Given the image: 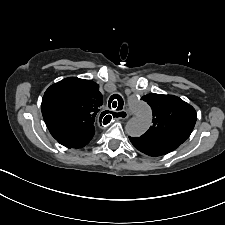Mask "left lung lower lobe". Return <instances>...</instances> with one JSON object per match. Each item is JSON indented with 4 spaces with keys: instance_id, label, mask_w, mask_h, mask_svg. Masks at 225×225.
I'll list each match as a JSON object with an SVG mask.
<instances>
[{
    "instance_id": "1",
    "label": "left lung lower lobe",
    "mask_w": 225,
    "mask_h": 225,
    "mask_svg": "<svg viewBox=\"0 0 225 225\" xmlns=\"http://www.w3.org/2000/svg\"><path fill=\"white\" fill-rule=\"evenodd\" d=\"M131 143L139 151L149 156L157 157L175 150L180 144L148 140L142 137H129Z\"/></svg>"
}]
</instances>
